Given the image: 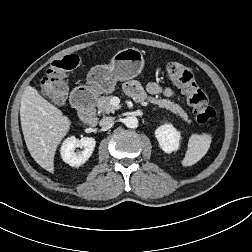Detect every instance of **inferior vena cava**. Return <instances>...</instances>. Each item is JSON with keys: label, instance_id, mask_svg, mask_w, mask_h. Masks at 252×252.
Here are the masks:
<instances>
[{"label": "inferior vena cava", "instance_id": "obj_1", "mask_svg": "<svg viewBox=\"0 0 252 252\" xmlns=\"http://www.w3.org/2000/svg\"><path fill=\"white\" fill-rule=\"evenodd\" d=\"M114 121V118L113 117H104L103 119L100 120V126L101 127H105V126H108L110 125L112 122Z\"/></svg>", "mask_w": 252, "mask_h": 252}]
</instances>
